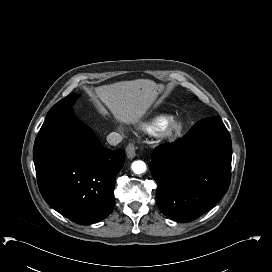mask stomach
Instances as JSON below:
<instances>
[{"label":"stomach","mask_w":272,"mask_h":272,"mask_svg":"<svg viewBox=\"0 0 272 272\" xmlns=\"http://www.w3.org/2000/svg\"><path fill=\"white\" fill-rule=\"evenodd\" d=\"M159 91H160V87L158 85H156V87H155V92H156L155 97L158 95Z\"/></svg>","instance_id":"1"}]
</instances>
